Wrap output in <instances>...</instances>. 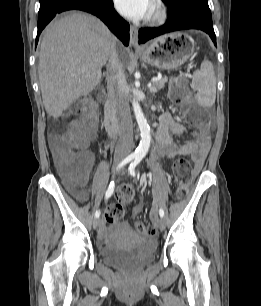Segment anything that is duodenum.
I'll list each match as a JSON object with an SVG mask.
<instances>
[{"mask_svg":"<svg viewBox=\"0 0 261 306\" xmlns=\"http://www.w3.org/2000/svg\"><path fill=\"white\" fill-rule=\"evenodd\" d=\"M104 126L110 134H116L119 131V123L116 116L115 103L112 99L105 102L104 107Z\"/></svg>","mask_w":261,"mask_h":306,"instance_id":"410a0bca","label":"duodenum"}]
</instances>
